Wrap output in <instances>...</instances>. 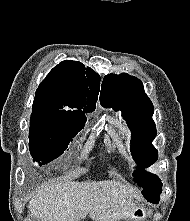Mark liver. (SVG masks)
<instances>
[{
    "instance_id": "liver-1",
    "label": "liver",
    "mask_w": 190,
    "mask_h": 221,
    "mask_svg": "<svg viewBox=\"0 0 190 221\" xmlns=\"http://www.w3.org/2000/svg\"><path fill=\"white\" fill-rule=\"evenodd\" d=\"M135 189L115 180L49 183L31 198L28 209L41 221L126 219L135 211Z\"/></svg>"
}]
</instances>
